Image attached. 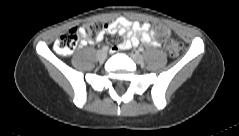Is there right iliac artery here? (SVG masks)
Instances as JSON below:
<instances>
[{
	"label": "right iliac artery",
	"instance_id": "82829eb1",
	"mask_svg": "<svg viewBox=\"0 0 239 136\" xmlns=\"http://www.w3.org/2000/svg\"><path fill=\"white\" fill-rule=\"evenodd\" d=\"M102 49L105 50V51H107V50H108V47H107V46H103Z\"/></svg>",
	"mask_w": 239,
	"mask_h": 136
}]
</instances>
